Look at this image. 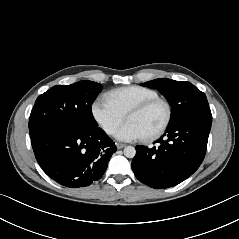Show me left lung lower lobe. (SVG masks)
Here are the masks:
<instances>
[{"instance_id": "1", "label": "left lung lower lobe", "mask_w": 239, "mask_h": 239, "mask_svg": "<svg viewBox=\"0 0 239 239\" xmlns=\"http://www.w3.org/2000/svg\"><path fill=\"white\" fill-rule=\"evenodd\" d=\"M212 116H192L168 124L158 147L136 146L132 170L139 181L156 189L175 186L202 163ZM167 140H163V138Z\"/></svg>"}]
</instances>
